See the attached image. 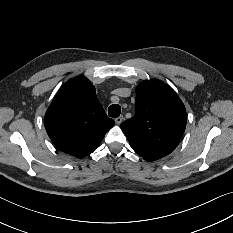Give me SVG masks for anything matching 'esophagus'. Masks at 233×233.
Returning <instances> with one entry per match:
<instances>
[{
  "mask_svg": "<svg viewBox=\"0 0 233 233\" xmlns=\"http://www.w3.org/2000/svg\"><path fill=\"white\" fill-rule=\"evenodd\" d=\"M123 119H124V116H123V115H120L119 117H117V118L115 119V123H116L117 125H120L121 122L123 121Z\"/></svg>",
  "mask_w": 233,
  "mask_h": 233,
  "instance_id": "1",
  "label": "esophagus"
}]
</instances>
